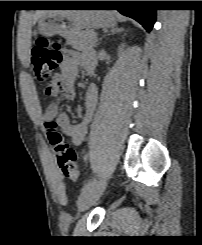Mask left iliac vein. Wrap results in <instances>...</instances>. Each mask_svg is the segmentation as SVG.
<instances>
[{
  "label": "left iliac vein",
  "mask_w": 202,
  "mask_h": 245,
  "mask_svg": "<svg viewBox=\"0 0 202 245\" xmlns=\"http://www.w3.org/2000/svg\"><path fill=\"white\" fill-rule=\"evenodd\" d=\"M105 184L102 186H95L89 191L82 193L78 198V209L85 211L90 208L103 194Z\"/></svg>",
  "instance_id": "left-iliac-vein-1"
}]
</instances>
